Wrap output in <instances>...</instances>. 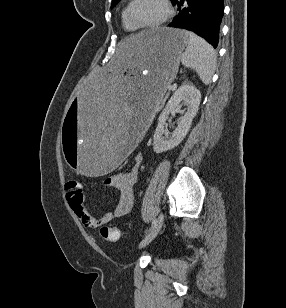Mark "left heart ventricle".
Listing matches in <instances>:
<instances>
[{
	"label": "left heart ventricle",
	"mask_w": 286,
	"mask_h": 308,
	"mask_svg": "<svg viewBox=\"0 0 286 308\" xmlns=\"http://www.w3.org/2000/svg\"><path fill=\"white\" fill-rule=\"evenodd\" d=\"M161 0H137L133 7V17L139 24H152L164 15Z\"/></svg>",
	"instance_id": "left-heart-ventricle-1"
}]
</instances>
